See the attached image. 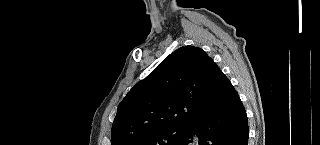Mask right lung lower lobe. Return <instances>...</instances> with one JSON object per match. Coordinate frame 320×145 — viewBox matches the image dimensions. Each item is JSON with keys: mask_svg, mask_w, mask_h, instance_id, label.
<instances>
[{"mask_svg": "<svg viewBox=\"0 0 320 145\" xmlns=\"http://www.w3.org/2000/svg\"><path fill=\"white\" fill-rule=\"evenodd\" d=\"M212 109L184 127L176 145H247V114L229 79L224 76L216 90Z\"/></svg>", "mask_w": 320, "mask_h": 145, "instance_id": "right-lung-lower-lobe-1", "label": "right lung lower lobe"}]
</instances>
